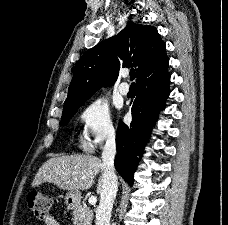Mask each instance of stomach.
Masks as SVG:
<instances>
[{"label": "stomach", "mask_w": 228, "mask_h": 225, "mask_svg": "<svg viewBox=\"0 0 228 225\" xmlns=\"http://www.w3.org/2000/svg\"><path fill=\"white\" fill-rule=\"evenodd\" d=\"M80 199L79 191H77V193H75V191H68V193H66L65 203L67 207H76V205H79Z\"/></svg>", "instance_id": "0dacf381"}]
</instances>
